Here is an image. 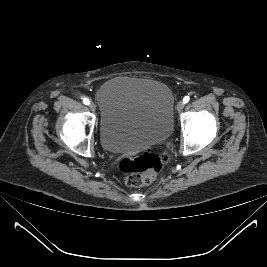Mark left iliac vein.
<instances>
[{"label": "left iliac vein", "instance_id": "1", "mask_svg": "<svg viewBox=\"0 0 267 267\" xmlns=\"http://www.w3.org/2000/svg\"><path fill=\"white\" fill-rule=\"evenodd\" d=\"M184 102L183 101H179L178 103H177V105H176V109H177V111L178 112H181L182 110H183V108H184Z\"/></svg>", "mask_w": 267, "mask_h": 267}]
</instances>
